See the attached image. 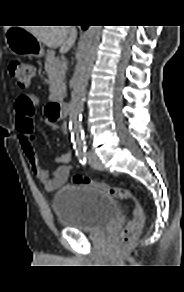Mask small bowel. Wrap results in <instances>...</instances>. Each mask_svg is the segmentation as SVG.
Returning a JSON list of instances; mask_svg holds the SVG:
<instances>
[{
    "instance_id": "c3829d8e",
    "label": "small bowel",
    "mask_w": 184,
    "mask_h": 292,
    "mask_svg": "<svg viewBox=\"0 0 184 292\" xmlns=\"http://www.w3.org/2000/svg\"><path fill=\"white\" fill-rule=\"evenodd\" d=\"M17 128L20 144L33 174L43 184L47 191H54L63 186L67 182L71 172V167L68 164L71 160V151L69 150L64 154L54 157L53 160L58 165L51 173H49V171L43 168L39 163L34 147V129L31 128L29 130H24L19 125H17ZM59 130L62 133L67 132L65 126H60Z\"/></svg>"
}]
</instances>
